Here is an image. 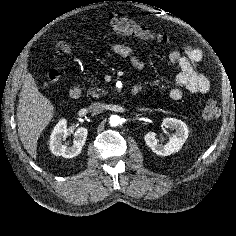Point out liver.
Wrapping results in <instances>:
<instances>
[{
    "label": "liver",
    "instance_id": "1",
    "mask_svg": "<svg viewBox=\"0 0 236 236\" xmlns=\"http://www.w3.org/2000/svg\"><path fill=\"white\" fill-rule=\"evenodd\" d=\"M17 106L20 141L29 155L36 159L40 134L54 116V106L43 96L30 73L25 76Z\"/></svg>",
    "mask_w": 236,
    "mask_h": 236
}]
</instances>
